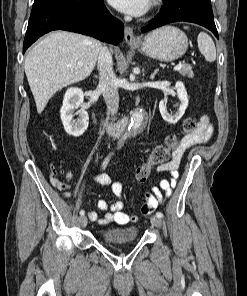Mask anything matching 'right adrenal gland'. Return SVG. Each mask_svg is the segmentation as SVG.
<instances>
[{"label": "right adrenal gland", "instance_id": "1", "mask_svg": "<svg viewBox=\"0 0 247 296\" xmlns=\"http://www.w3.org/2000/svg\"><path fill=\"white\" fill-rule=\"evenodd\" d=\"M95 78H98V76H97V75H95Z\"/></svg>", "mask_w": 247, "mask_h": 296}]
</instances>
